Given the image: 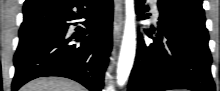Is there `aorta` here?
Instances as JSON below:
<instances>
[{
    "label": "aorta",
    "instance_id": "aorta-1",
    "mask_svg": "<svg viewBox=\"0 0 220 91\" xmlns=\"http://www.w3.org/2000/svg\"><path fill=\"white\" fill-rule=\"evenodd\" d=\"M125 8V28L117 66V83L119 86H123L129 77L136 51L134 0H125Z\"/></svg>",
    "mask_w": 220,
    "mask_h": 91
}]
</instances>
